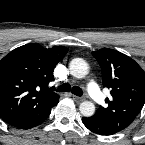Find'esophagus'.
Returning a JSON list of instances; mask_svg holds the SVG:
<instances>
[{
    "mask_svg": "<svg viewBox=\"0 0 145 145\" xmlns=\"http://www.w3.org/2000/svg\"><path fill=\"white\" fill-rule=\"evenodd\" d=\"M72 97H73V100H74L75 102H77V103H81V102H83V101L85 100V98H83V97H78V96H75V95H73Z\"/></svg>",
    "mask_w": 145,
    "mask_h": 145,
    "instance_id": "obj_1",
    "label": "esophagus"
}]
</instances>
